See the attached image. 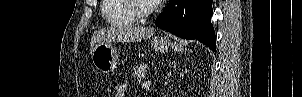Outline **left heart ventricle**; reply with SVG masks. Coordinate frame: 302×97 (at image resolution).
<instances>
[{"mask_svg": "<svg viewBox=\"0 0 302 97\" xmlns=\"http://www.w3.org/2000/svg\"><path fill=\"white\" fill-rule=\"evenodd\" d=\"M136 4L140 9H146L150 3L147 0H137Z\"/></svg>", "mask_w": 302, "mask_h": 97, "instance_id": "1", "label": "left heart ventricle"}]
</instances>
